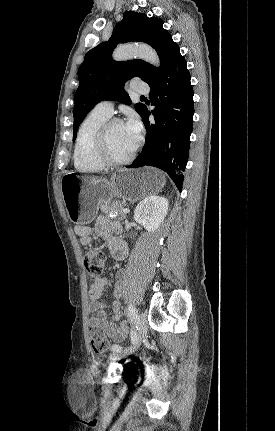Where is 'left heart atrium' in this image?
<instances>
[{
  "instance_id": "39dd6f15",
  "label": "left heart atrium",
  "mask_w": 275,
  "mask_h": 431,
  "mask_svg": "<svg viewBox=\"0 0 275 431\" xmlns=\"http://www.w3.org/2000/svg\"><path fill=\"white\" fill-rule=\"evenodd\" d=\"M123 128L127 141L132 149H135L141 137L142 126L140 120L136 115L132 114L123 124Z\"/></svg>"
}]
</instances>
